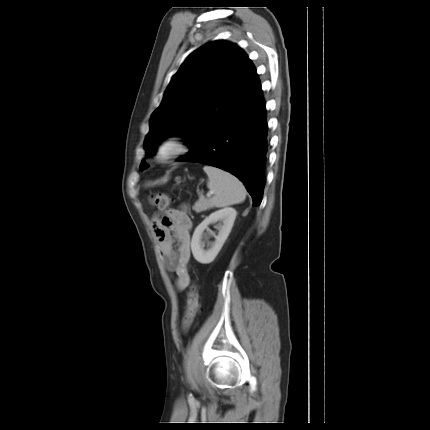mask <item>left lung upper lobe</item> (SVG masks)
I'll return each instance as SVG.
<instances>
[{
  "mask_svg": "<svg viewBox=\"0 0 430 430\" xmlns=\"http://www.w3.org/2000/svg\"><path fill=\"white\" fill-rule=\"evenodd\" d=\"M259 86L254 65L238 46L218 40L198 48L174 74L152 114L146 156L171 134L185 135L190 146L199 129L221 121ZM146 167L143 159L140 170Z\"/></svg>",
  "mask_w": 430,
  "mask_h": 430,
  "instance_id": "obj_1",
  "label": "left lung upper lobe"
}]
</instances>
